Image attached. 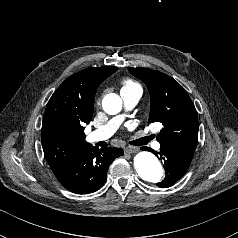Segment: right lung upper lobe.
I'll list each match as a JSON object with an SVG mask.
<instances>
[{"instance_id": "right-lung-upper-lobe-1", "label": "right lung upper lobe", "mask_w": 238, "mask_h": 238, "mask_svg": "<svg viewBox=\"0 0 238 238\" xmlns=\"http://www.w3.org/2000/svg\"><path fill=\"white\" fill-rule=\"evenodd\" d=\"M117 70L112 66L82 70L68 77L51 96L41 138L45 158L54 174L92 147L85 142L84 125L91 121L96 89Z\"/></svg>"}]
</instances>
